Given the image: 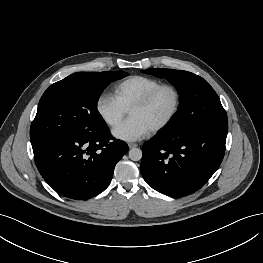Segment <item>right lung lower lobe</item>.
Listing matches in <instances>:
<instances>
[{
    "instance_id": "98d812e1",
    "label": "right lung lower lobe",
    "mask_w": 263,
    "mask_h": 263,
    "mask_svg": "<svg viewBox=\"0 0 263 263\" xmlns=\"http://www.w3.org/2000/svg\"><path fill=\"white\" fill-rule=\"evenodd\" d=\"M128 146L105 125L97 131L70 134L33 148L36 166L57 193L75 200L92 198L111 182L116 163Z\"/></svg>"
}]
</instances>
